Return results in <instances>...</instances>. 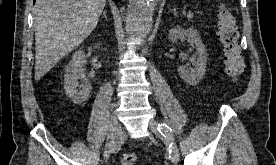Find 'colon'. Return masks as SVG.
Listing matches in <instances>:
<instances>
[{
	"mask_svg": "<svg viewBox=\"0 0 276 165\" xmlns=\"http://www.w3.org/2000/svg\"><path fill=\"white\" fill-rule=\"evenodd\" d=\"M219 39L224 54L226 73L233 79H238L244 71V61L239 46V33L234 16L225 8L219 12ZM136 155L125 153L121 157L122 165H134Z\"/></svg>",
	"mask_w": 276,
	"mask_h": 165,
	"instance_id": "1",
	"label": "colon"
}]
</instances>
